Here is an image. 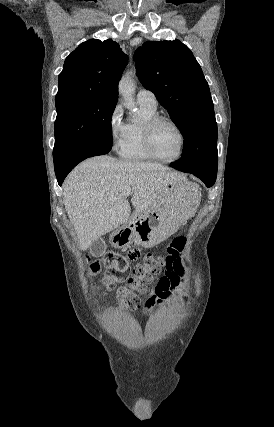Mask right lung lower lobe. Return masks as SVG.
I'll use <instances>...</instances> for the list:
<instances>
[{
  "label": "right lung lower lobe",
  "instance_id": "98d812e1",
  "mask_svg": "<svg viewBox=\"0 0 274 427\" xmlns=\"http://www.w3.org/2000/svg\"><path fill=\"white\" fill-rule=\"evenodd\" d=\"M112 148V145H97L89 148L88 150L84 151L83 153L77 155L72 160H70L65 165L55 168V174L57 177L58 184L61 186L62 182L64 181L65 177L68 175V173L81 161L88 157H93L97 155H104L107 154Z\"/></svg>",
  "mask_w": 274,
  "mask_h": 427
}]
</instances>
